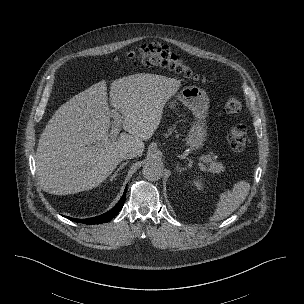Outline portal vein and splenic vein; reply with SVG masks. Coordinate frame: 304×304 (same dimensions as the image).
Instances as JSON below:
<instances>
[{
  "mask_svg": "<svg viewBox=\"0 0 304 304\" xmlns=\"http://www.w3.org/2000/svg\"><path fill=\"white\" fill-rule=\"evenodd\" d=\"M111 117H113L114 121H113L112 128L110 130V137L112 139H114L115 137H117V135L119 134V132L121 130L122 119H121L120 114L117 112V110H112L111 111ZM202 160L204 161L205 158L202 157Z\"/></svg>",
  "mask_w": 304,
  "mask_h": 304,
  "instance_id": "portal-vein-and-splenic-vein-1",
  "label": "portal vein and splenic vein"
}]
</instances>
